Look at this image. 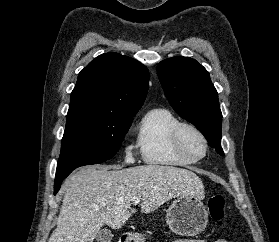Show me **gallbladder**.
<instances>
[{"mask_svg": "<svg viewBox=\"0 0 279 242\" xmlns=\"http://www.w3.org/2000/svg\"><path fill=\"white\" fill-rule=\"evenodd\" d=\"M113 234L108 229H102L96 236L97 242H111Z\"/></svg>", "mask_w": 279, "mask_h": 242, "instance_id": "gallbladder-1", "label": "gallbladder"}]
</instances>
